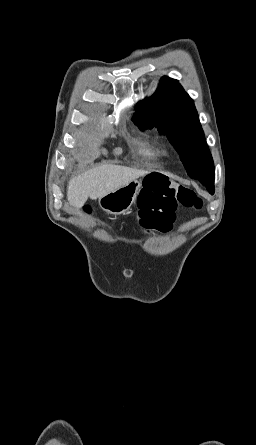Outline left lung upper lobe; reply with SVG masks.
<instances>
[{
	"instance_id": "1",
	"label": "left lung upper lobe",
	"mask_w": 256,
	"mask_h": 445,
	"mask_svg": "<svg viewBox=\"0 0 256 445\" xmlns=\"http://www.w3.org/2000/svg\"><path fill=\"white\" fill-rule=\"evenodd\" d=\"M133 121L167 135L193 179L214 180L215 169L193 100L177 80L163 77L155 94L136 106Z\"/></svg>"
}]
</instances>
